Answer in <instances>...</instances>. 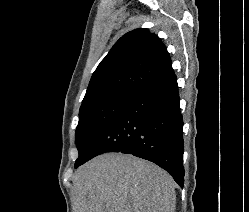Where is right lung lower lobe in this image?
<instances>
[{
    "instance_id": "98d812e1",
    "label": "right lung lower lobe",
    "mask_w": 249,
    "mask_h": 212,
    "mask_svg": "<svg viewBox=\"0 0 249 212\" xmlns=\"http://www.w3.org/2000/svg\"><path fill=\"white\" fill-rule=\"evenodd\" d=\"M183 119L175 74L140 93L103 131L84 163L106 152H122L165 169L183 187Z\"/></svg>"
}]
</instances>
